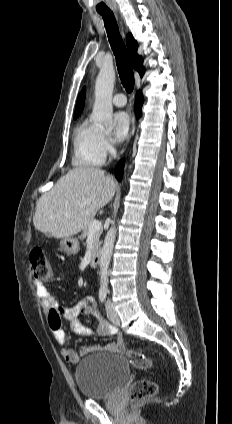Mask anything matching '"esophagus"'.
Returning a JSON list of instances; mask_svg holds the SVG:
<instances>
[{"label":"esophagus","instance_id":"1","mask_svg":"<svg viewBox=\"0 0 232 424\" xmlns=\"http://www.w3.org/2000/svg\"><path fill=\"white\" fill-rule=\"evenodd\" d=\"M135 129H136V119H135V116H134V114H133V115H132V119H131V129H130L129 136H128V138H127L126 145H127V143L129 142V140L131 139V137L134 135V133H135Z\"/></svg>","mask_w":232,"mask_h":424}]
</instances>
